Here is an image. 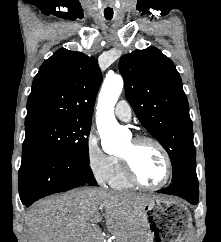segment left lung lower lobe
Here are the masks:
<instances>
[{"mask_svg": "<svg viewBox=\"0 0 221 242\" xmlns=\"http://www.w3.org/2000/svg\"><path fill=\"white\" fill-rule=\"evenodd\" d=\"M158 192L180 196L193 205L197 204L199 200V188L196 170L183 174L175 181H172L169 187L158 190Z\"/></svg>", "mask_w": 221, "mask_h": 242, "instance_id": "0a47b994", "label": "left lung lower lobe"}]
</instances>
